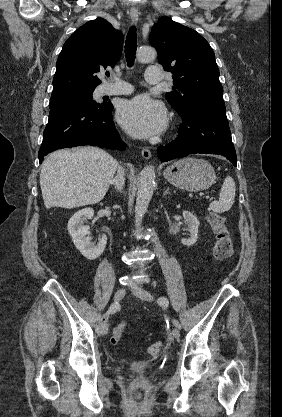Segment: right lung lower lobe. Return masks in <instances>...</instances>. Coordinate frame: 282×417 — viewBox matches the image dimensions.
Returning a JSON list of instances; mask_svg holds the SVG:
<instances>
[{"instance_id":"obj_1","label":"right lung lower lobe","mask_w":282,"mask_h":417,"mask_svg":"<svg viewBox=\"0 0 282 417\" xmlns=\"http://www.w3.org/2000/svg\"><path fill=\"white\" fill-rule=\"evenodd\" d=\"M113 105L83 102L50 109L39 150V161L48 153L67 147L93 145L110 149L125 148L112 120Z\"/></svg>"}]
</instances>
